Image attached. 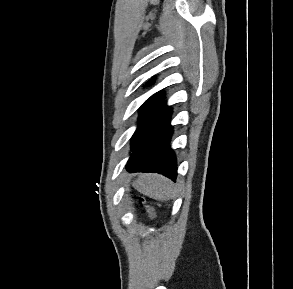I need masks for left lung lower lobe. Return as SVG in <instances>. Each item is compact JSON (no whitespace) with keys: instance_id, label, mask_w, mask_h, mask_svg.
I'll use <instances>...</instances> for the list:
<instances>
[{"instance_id":"0a47b994","label":"left lung lower lobe","mask_w":293,"mask_h":289,"mask_svg":"<svg viewBox=\"0 0 293 289\" xmlns=\"http://www.w3.org/2000/svg\"><path fill=\"white\" fill-rule=\"evenodd\" d=\"M171 111L162 99L140 118L131 140L133 152L126 164L128 171L160 173L176 180V159L169 145Z\"/></svg>"}]
</instances>
